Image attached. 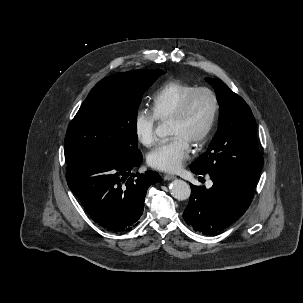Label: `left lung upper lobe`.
Segmentation results:
<instances>
[{
    "label": "left lung upper lobe",
    "instance_id": "1",
    "mask_svg": "<svg viewBox=\"0 0 303 303\" xmlns=\"http://www.w3.org/2000/svg\"><path fill=\"white\" fill-rule=\"evenodd\" d=\"M216 92L219 124L207 152L190 165L201 174L221 172L256 183L263 166L254 116L246 102L220 79L206 78Z\"/></svg>",
    "mask_w": 303,
    "mask_h": 303
}]
</instances>
